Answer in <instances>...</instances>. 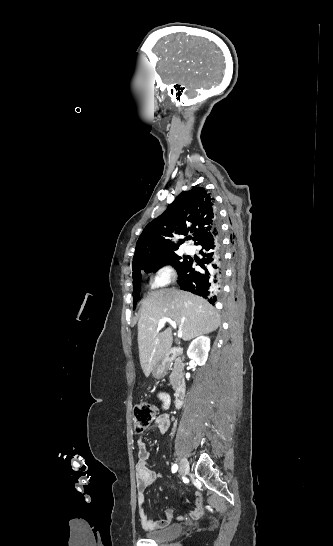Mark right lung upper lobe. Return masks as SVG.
Returning a JSON list of instances; mask_svg holds the SVG:
<instances>
[{"instance_id": "1", "label": "right lung upper lobe", "mask_w": 333, "mask_h": 546, "mask_svg": "<svg viewBox=\"0 0 333 546\" xmlns=\"http://www.w3.org/2000/svg\"><path fill=\"white\" fill-rule=\"evenodd\" d=\"M215 226L214 198L202 187L182 192L139 236L132 263L133 276L158 266L166 253L178 249L184 241L173 244L169 239L173 237L172 232L187 235L190 231L198 241Z\"/></svg>"}]
</instances>
